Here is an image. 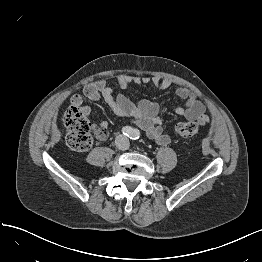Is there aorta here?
<instances>
[{
  "instance_id": "obj_1",
  "label": "aorta",
  "mask_w": 262,
  "mask_h": 262,
  "mask_svg": "<svg viewBox=\"0 0 262 262\" xmlns=\"http://www.w3.org/2000/svg\"><path fill=\"white\" fill-rule=\"evenodd\" d=\"M138 134H139L138 130H135V131L133 132V137L138 136Z\"/></svg>"
}]
</instances>
